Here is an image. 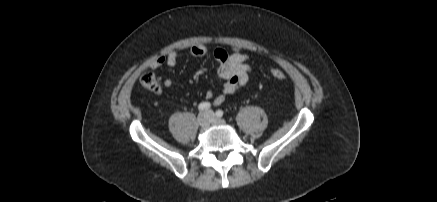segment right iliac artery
Segmentation results:
<instances>
[{
  "instance_id": "obj_1",
  "label": "right iliac artery",
  "mask_w": 437,
  "mask_h": 202,
  "mask_svg": "<svg viewBox=\"0 0 437 202\" xmlns=\"http://www.w3.org/2000/svg\"><path fill=\"white\" fill-rule=\"evenodd\" d=\"M211 107V104L209 102H202L198 106L199 111H206Z\"/></svg>"
}]
</instances>
